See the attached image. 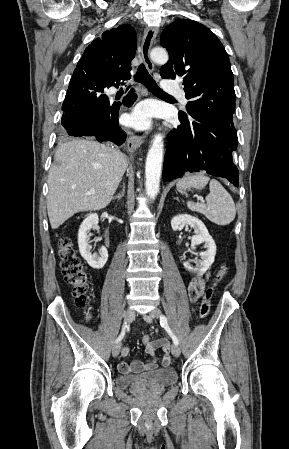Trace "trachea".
I'll list each match as a JSON object with an SVG mask.
<instances>
[{"mask_svg":"<svg viewBox=\"0 0 289 449\" xmlns=\"http://www.w3.org/2000/svg\"><path fill=\"white\" fill-rule=\"evenodd\" d=\"M136 82H142L149 91L159 94H166L153 80L151 75L143 64L139 65L137 72L134 76Z\"/></svg>","mask_w":289,"mask_h":449,"instance_id":"1","label":"trachea"}]
</instances>
